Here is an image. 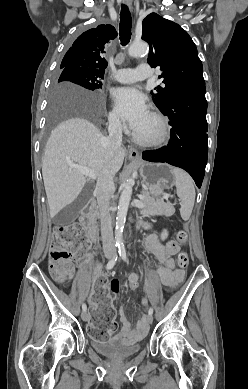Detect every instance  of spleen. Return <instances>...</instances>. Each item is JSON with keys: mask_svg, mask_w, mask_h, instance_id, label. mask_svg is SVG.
Returning a JSON list of instances; mask_svg holds the SVG:
<instances>
[{"mask_svg": "<svg viewBox=\"0 0 248 389\" xmlns=\"http://www.w3.org/2000/svg\"><path fill=\"white\" fill-rule=\"evenodd\" d=\"M172 173L175 178L177 195L181 200V217L183 220H188L193 210L196 195L193 180L182 169L172 168Z\"/></svg>", "mask_w": 248, "mask_h": 389, "instance_id": "spleen-1", "label": "spleen"}]
</instances>
